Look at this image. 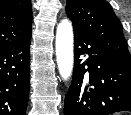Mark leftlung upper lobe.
I'll return each instance as SVG.
<instances>
[{
	"label": "left lung upper lobe",
	"mask_w": 131,
	"mask_h": 115,
	"mask_svg": "<svg viewBox=\"0 0 131 115\" xmlns=\"http://www.w3.org/2000/svg\"><path fill=\"white\" fill-rule=\"evenodd\" d=\"M74 31L92 38L112 58L131 67V55L120 20L106 0H67Z\"/></svg>",
	"instance_id": "5c2ea615"
}]
</instances>
